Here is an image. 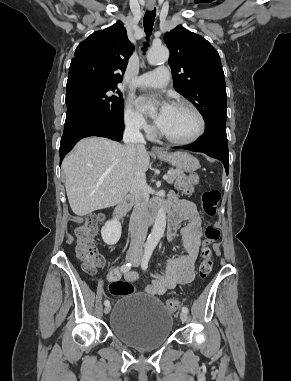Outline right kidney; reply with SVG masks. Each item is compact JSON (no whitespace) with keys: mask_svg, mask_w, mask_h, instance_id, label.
<instances>
[{"mask_svg":"<svg viewBox=\"0 0 291 381\" xmlns=\"http://www.w3.org/2000/svg\"><path fill=\"white\" fill-rule=\"evenodd\" d=\"M101 236L106 244H116L121 237V223L119 220L112 219L107 221L101 229Z\"/></svg>","mask_w":291,"mask_h":381,"instance_id":"1","label":"right kidney"}]
</instances>
